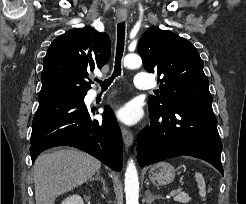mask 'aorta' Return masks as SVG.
I'll list each match as a JSON object with an SVG mask.
<instances>
[{"instance_id": "762f6f07", "label": "aorta", "mask_w": 246, "mask_h": 204, "mask_svg": "<svg viewBox=\"0 0 246 204\" xmlns=\"http://www.w3.org/2000/svg\"><path fill=\"white\" fill-rule=\"evenodd\" d=\"M142 64L141 57L137 54H128L124 58V66L136 68ZM126 204H139V177L134 161H128L125 172Z\"/></svg>"}]
</instances>
